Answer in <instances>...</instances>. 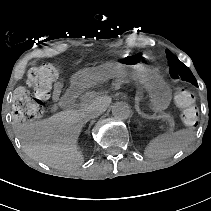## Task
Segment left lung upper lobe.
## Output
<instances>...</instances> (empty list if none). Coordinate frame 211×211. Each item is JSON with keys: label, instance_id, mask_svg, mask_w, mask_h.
Masks as SVG:
<instances>
[{"label": "left lung upper lobe", "instance_id": "obj_1", "mask_svg": "<svg viewBox=\"0 0 211 211\" xmlns=\"http://www.w3.org/2000/svg\"><path fill=\"white\" fill-rule=\"evenodd\" d=\"M168 64L170 66L169 73L174 79H182L198 86L195 77L190 69L184 65L171 51L166 50Z\"/></svg>", "mask_w": 211, "mask_h": 211}]
</instances>
